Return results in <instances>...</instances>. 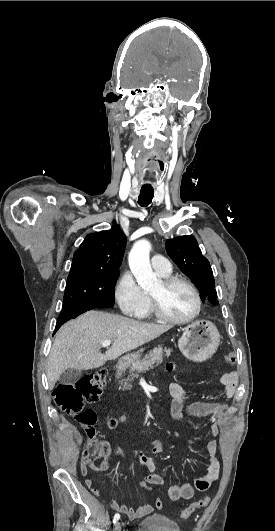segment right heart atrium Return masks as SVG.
Segmentation results:
<instances>
[{"mask_svg": "<svg viewBox=\"0 0 275 531\" xmlns=\"http://www.w3.org/2000/svg\"><path fill=\"white\" fill-rule=\"evenodd\" d=\"M115 296L121 311L129 317L143 316L150 306L149 296L141 290L129 271L119 278Z\"/></svg>", "mask_w": 275, "mask_h": 531, "instance_id": "1", "label": "right heart atrium"}]
</instances>
